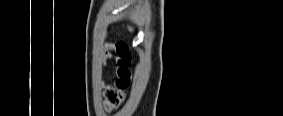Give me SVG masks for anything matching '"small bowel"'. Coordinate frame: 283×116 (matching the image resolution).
I'll return each mask as SVG.
<instances>
[{
  "mask_svg": "<svg viewBox=\"0 0 283 116\" xmlns=\"http://www.w3.org/2000/svg\"><path fill=\"white\" fill-rule=\"evenodd\" d=\"M104 49L108 55H110L112 51H116L115 63L118 77L130 75V72L127 69V65L130 61V54L126 46L121 43H106Z\"/></svg>",
  "mask_w": 283,
  "mask_h": 116,
  "instance_id": "c3829d8e",
  "label": "small bowel"
}]
</instances>
